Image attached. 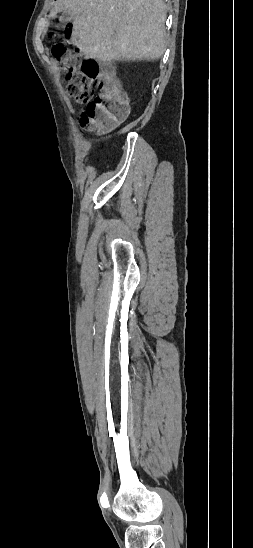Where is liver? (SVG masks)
Returning a JSON list of instances; mask_svg holds the SVG:
<instances>
[{
	"label": "liver",
	"mask_w": 253,
	"mask_h": 548,
	"mask_svg": "<svg viewBox=\"0 0 253 548\" xmlns=\"http://www.w3.org/2000/svg\"><path fill=\"white\" fill-rule=\"evenodd\" d=\"M62 11L71 14L72 42L86 58L109 63L164 54L163 0H57L51 14Z\"/></svg>",
	"instance_id": "1"
}]
</instances>
